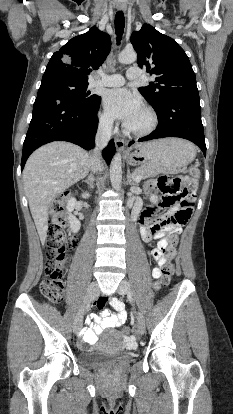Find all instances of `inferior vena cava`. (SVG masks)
<instances>
[{"instance_id":"inferior-vena-cava-1","label":"inferior vena cava","mask_w":233,"mask_h":414,"mask_svg":"<svg viewBox=\"0 0 233 414\" xmlns=\"http://www.w3.org/2000/svg\"><path fill=\"white\" fill-rule=\"evenodd\" d=\"M112 119H106L99 124L95 137L96 147L90 155V168L93 172L103 169L101 150L107 146L112 135Z\"/></svg>"}]
</instances>
